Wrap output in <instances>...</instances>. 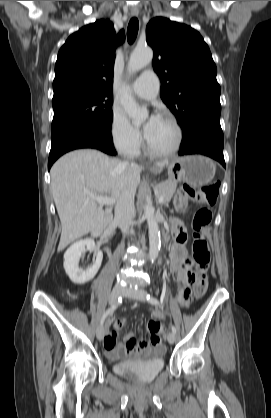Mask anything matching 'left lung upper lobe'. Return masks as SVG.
<instances>
[{
  "label": "left lung upper lobe",
  "mask_w": 271,
  "mask_h": 418,
  "mask_svg": "<svg viewBox=\"0 0 271 418\" xmlns=\"http://www.w3.org/2000/svg\"><path fill=\"white\" fill-rule=\"evenodd\" d=\"M146 39L154 50L161 98L183 131L200 121H220L217 69L202 36L190 26L156 17L147 25Z\"/></svg>",
  "instance_id": "left-lung-upper-lobe-1"
}]
</instances>
